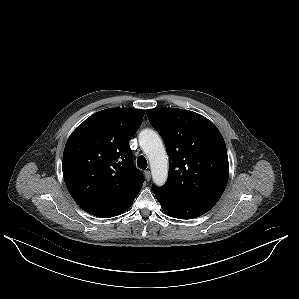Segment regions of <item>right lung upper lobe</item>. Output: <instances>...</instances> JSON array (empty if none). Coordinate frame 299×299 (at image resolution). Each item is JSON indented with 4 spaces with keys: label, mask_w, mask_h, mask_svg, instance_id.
Masks as SVG:
<instances>
[{
    "label": "right lung upper lobe",
    "mask_w": 299,
    "mask_h": 299,
    "mask_svg": "<svg viewBox=\"0 0 299 299\" xmlns=\"http://www.w3.org/2000/svg\"><path fill=\"white\" fill-rule=\"evenodd\" d=\"M144 110L99 111L70 135L63 153V176L70 195L84 210L114 203L110 215L124 213L144 182L134 167L129 140L142 123ZM110 216V217H113Z\"/></svg>",
    "instance_id": "right-lung-upper-lobe-1"
}]
</instances>
